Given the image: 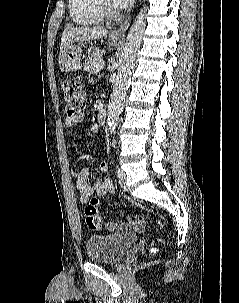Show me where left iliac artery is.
<instances>
[{
  "label": "left iliac artery",
  "mask_w": 239,
  "mask_h": 303,
  "mask_svg": "<svg viewBox=\"0 0 239 303\" xmlns=\"http://www.w3.org/2000/svg\"><path fill=\"white\" fill-rule=\"evenodd\" d=\"M117 175H118V173H119V169L118 170H116V172H115Z\"/></svg>",
  "instance_id": "obj_1"
}]
</instances>
